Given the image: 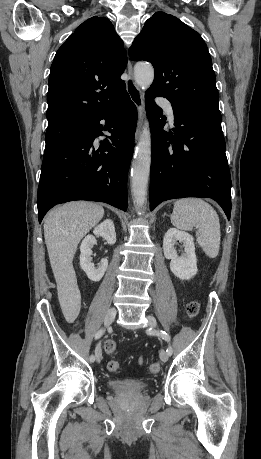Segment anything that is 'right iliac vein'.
Returning <instances> with one entry per match:
<instances>
[{
  "instance_id": "63e3f726",
  "label": "right iliac vein",
  "mask_w": 261,
  "mask_h": 459,
  "mask_svg": "<svg viewBox=\"0 0 261 459\" xmlns=\"http://www.w3.org/2000/svg\"><path fill=\"white\" fill-rule=\"evenodd\" d=\"M116 314H117V311L114 307L110 308L107 313H106V316H105V319H104V324L106 326H109L115 319L116 317ZM95 356H96V361L97 362H100L101 359H102V351H101V347L98 346L95 350Z\"/></svg>"
}]
</instances>
